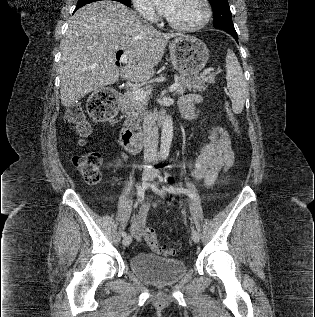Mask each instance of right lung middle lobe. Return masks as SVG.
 <instances>
[{"label":"right lung middle lobe","instance_id":"dd1d6c3e","mask_svg":"<svg viewBox=\"0 0 315 317\" xmlns=\"http://www.w3.org/2000/svg\"><path fill=\"white\" fill-rule=\"evenodd\" d=\"M95 1H99V0H78L77 6L76 7H82L88 3L91 2H95ZM118 1L120 3L125 4L126 6H130L131 5V1L130 0H115Z\"/></svg>","mask_w":315,"mask_h":317}]
</instances>
